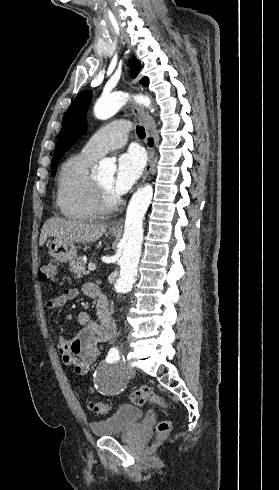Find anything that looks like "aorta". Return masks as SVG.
Wrapping results in <instances>:
<instances>
[{
  "mask_svg": "<svg viewBox=\"0 0 279 490\" xmlns=\"http://www.w3.org/2000/svg\"><path fill=\"white\" fill-rule=\"evenodd\" d=\"M127 98L128 95L122 92L99 98L94 106L95 116L101 120L112 117L125 105ZM137 101L147 107L151 106L148 97H139ZM115 169V163L110 159L100 161L97 168L99 174L107 176H112ZM152 197L153 188L147 184L133 194L127 207L124 234L121 240L123 253L119 260L120 277L114 286L117 293L131 291L135 282L143 242V220Z\"/></svg>",
  "mask_w": 279,
  "mask_h": 490,
  "instance_id": "aorta-1",
  "label": "aorta"
}]
</instances>
